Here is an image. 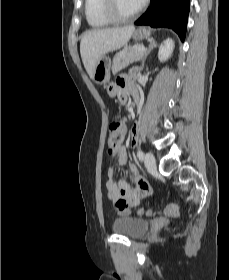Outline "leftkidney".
<instances>
[{"instance_id":"5707ae66","label":"left kidney","mask_w":229,"mask_h":280,"mask_svg":"<svg viewBox=\"0 0 229 280\" xmlns=\"http://www.w3.org/2000/svg\"><path fill=\"white\" fill-rule=\"evenodd\" d=\"M174 49V41L170 38L166 39L159 47L158 58L160 62H165L169 59Z\"/></svg>"}]
</instances>
